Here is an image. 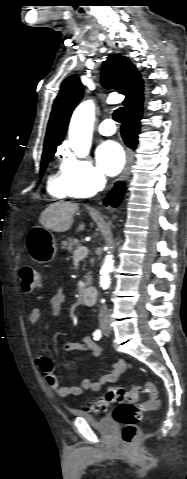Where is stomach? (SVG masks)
Wrapping results in <instances>:
<instances>
[{"mask_svg":"<svg viewBox=\"0 0 187 479\" xmlns=\"http://www.w3.org/2000/svg\"><path fill=\"white\" fill-rule=\"evenodd\" d=\"M26 247L30 257L40 264L51 262L57 253L55 237L44 227H34L29 231Z\"/></svg>","mask_w":187,"mask_h":479,"instance_id":"0dacf381","label":"stomach"}]
</instances>
